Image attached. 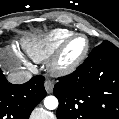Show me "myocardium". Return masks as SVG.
<instances>
[{"mask_svg":"<svg viewBox=\"0 0 119 119\" xmlns=\"http://www.w3.org/2000/svg\"><path fill=\"white\" fill-rule=\"evenodd\" d=\"M81 37L85 40L86 45L82 54L72 62L63 61V53L68 44L75 38ZM90 51V42L84 34L72 33L67 37L53 53L49 62V70L54 75H67L74 72L87 58Z\"/></svg>","mask_w":119,"mask_h":119,"instance_id":"f54148a6","label":"myocardium"}]
</instances>
